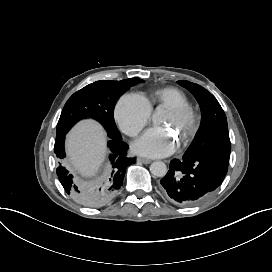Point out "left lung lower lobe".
Here are the masks:
<instances>
[{"label":"left lung lower lobe","mask_w":272,"mask_h":272,"mask_svg":"<svg viewBox=\"0 0 272 272\" xmlns=\"http://www.w3.org/2000/svg\"><path fill=\"white\" fill-rule=\"evenodd\" d=\"M228 162L216 156H183L181 161L175 159L160 181V191L177 205H194L222 183Z\"/></svg>","instance_id":"1"}]
</instances>
